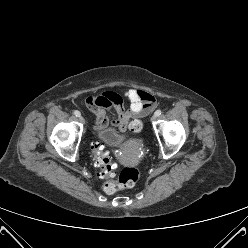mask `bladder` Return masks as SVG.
Segmentation results:
<instances>
[{
	"mask_svg": "<svg viewBox=\"0 0 248 248\" xmlns=\"http://www.w3.org/2000/svg\"><path fill=\"white\" fill-rule=\"evenodd\" d=\"M98 137L103 143L109 146H119L124 140V136L110 126L99 129Z\"/></svg>",
	"mask_w": 248,
	"mask_h": 248,
	"instance_id": "obj_1",
	"label": "bladder"
}]
</instances>
